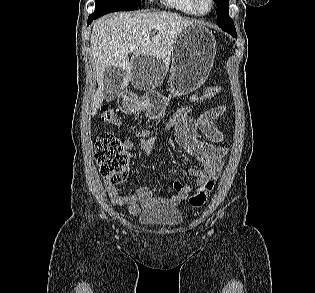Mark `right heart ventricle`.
I'll return each mask as SVG.
<instances>
[{"label": "right heart ventricle", "instance_id": "obj_1", "mask_svg": "<svg viewBox=\"0 0 315 293\" xmlns=\"http://www.w3.org/2000/svg\"><path fill=\"white\" fill-rule=\"evenodd\" d=\"M165 7L185 16H199L192 0H162Z\"/></svg>", "mask_w": 315, "mask_h": 293}]
</instances>
